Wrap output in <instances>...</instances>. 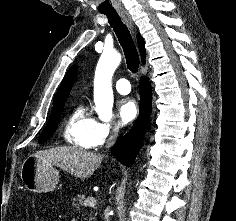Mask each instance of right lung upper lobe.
<instances>
[{"mask_svg":"<svg viewBox=\"0 0 236 221\" xmlns=\"http://www.w3.org/2000/svg\"><path fill=\"white\" fill-rule=\"evenodd\" d=\"M137 42H138V46H139V50H140V54H141L142 63H145L146 50L144 48V40L140 35H137ZM77 70H78L77 66H72L68 70V72L66 73V75L60 85V88L58 89V91L55 95L53 106L62 104L66 101V99L69 96L72 85L74 83V80L76 78Z\"/></svg>","mask_w":236,"mask_h":221,"instance_id":"cb5924a9","label":"right lung upper lobe"}]
</instances>
